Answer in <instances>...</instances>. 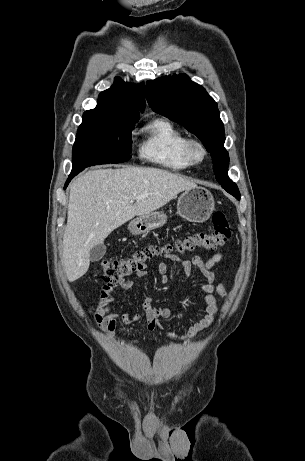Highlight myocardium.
<instances>
[{
    "label": "myocardium",
    "instance_id": "1",
    "mask_svg": "<svg viewBox=\"0 0 305 461\" xmlns=\"http://www.w3.org/2000/svg\"><path fill=\"white\" fill-rule=\"evenodd\" d=\"M199 151V154L196 153ZM208 151L205 144L198 139H188L185 144V155L191 164H199L207 157Z\"/></svg>",
    "mask_w": 305,
    "mask_h": 461
}]
</instances>
